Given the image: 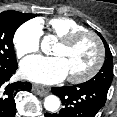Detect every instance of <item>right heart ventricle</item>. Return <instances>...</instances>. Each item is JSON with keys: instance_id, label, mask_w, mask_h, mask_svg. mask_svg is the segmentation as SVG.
<instances>
[{"instance_id": "obj_1", "label": "right heart ventricle", "mask_w": 117, "mask_h": 117, "mask_svg": "<svg viewBox=\"0 0 117 117\" xmlns=\"http://www.w3.org/2000/svg\"><path fill=\"white\" fill-rule=\"evenodd\" d=\"M46 33L56 38H61L69 33L85 30V28L67 17H55L45 22Z\"/></svg>"}]
</instances>
